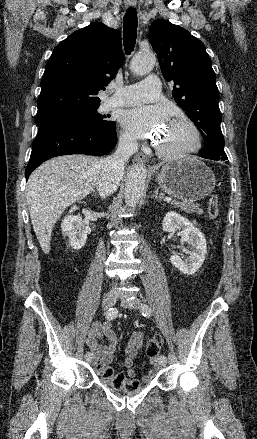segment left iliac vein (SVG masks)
<instances>
[{
    "mask_svg": "<svg viewBox=\"0 0 257 439\" xmlns=\"http://www.w3.org/2000/svg\"><path fill=\"white\" fill-rule=\"evenodd\" d=\"M121 304L127 308H130V309H138L140 307V301L136 298H133V299L123 298L121 300ZM165 364H166L165 362H159L158 368L164 367Z\"/></svg>",
    "mask_w": 257,
    "mask_h": 439,
    "instance_id": "4c4485c4",
    "label": "left iliac vein"
}]
</instances>
